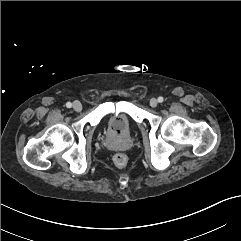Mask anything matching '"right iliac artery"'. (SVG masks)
I'll return each mask as SVG.
<instances>
[{"mask_svg":"<svg viewBox=\"0 0 241 241\" xmlns=\"http://www.w3.org/2000/svg\"><path fill=\"white\" fill-rule=\"evenodd\" d=\"M66 107H67V108H71V107H72V103H71V102H67V103H66Z\"/></svg>","mask_w":241,"mask_h":241,"instance_id":"right-iliac-artery-1","label":"right iliac artery"}]
</instances>
